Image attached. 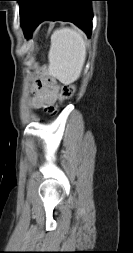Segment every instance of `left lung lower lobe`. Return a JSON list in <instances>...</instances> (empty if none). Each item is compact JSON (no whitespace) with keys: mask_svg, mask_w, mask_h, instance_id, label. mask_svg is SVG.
Returning <instances> with one entry per match:
<instances>
[{"mask_svg":"<svg viewBox=\"0 0 133 253\" xmlns=\"http://www.w3.org/2000/svg\"><path fill=\"white\" fill-rule=\"evenodd\" d=\"M96 0H23L20 23L25 36L44 20L70 21L83 29L88 37L92 31L91 2Z\"/></svg>","mask_w":133,"mask_h":253,"instance_id":"1","label":"left lung lower lobe"}]
</instances>
